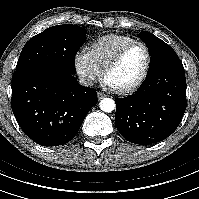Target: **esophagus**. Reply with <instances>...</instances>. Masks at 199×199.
Segmentation results:
<instances>
[{"label":"esophagus","mask_w":199,"mask_h":199,"mask_svg":"<svg viewBox=\"0 0 199 199\" xmlns=\"http://www.w3.org/2000/svg\"><path fill=\"white\" fill-rule=\"evenodd\" d=\"M97 97L100 100V99H103L104 97H106V95L102 92H97Z\"/></svg>","instance_id":"34e87169"}]
</instances>
